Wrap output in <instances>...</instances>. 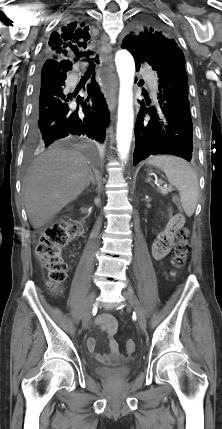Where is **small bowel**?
<instances>
[{
  "label": "small bowel",
  "mask_w": 222,
  "mask_h": 429,
  "mask_svg": "<svg viewBox=\"0 0 222 429\" xmlns=\"http://www.w3.org/2000/svg\"><path fill=\"white\" fill-rule=\"evenodd\" d=\"M184 223L185 218L183 215H169L165 226L157 234V238L152 246V255L156 260L163 259L170 252L175 235ZM95 323L107 334L109 352H98L96 340L93 337H89L87 340L89 352L98 362L107 366H119L126 362L127 358L120 353L118 342L114 339L118 330L116 319L108 313H102L96 317Z\"/></svg>",
  "instance_id": "small-bowel-1"
}]
</instances>
